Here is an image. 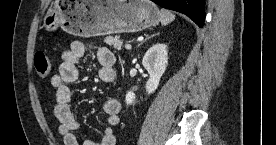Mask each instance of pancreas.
<instances>
[{
    "label": "pancreas",
    "instance_id": "cf45deb5",
    "mask_svg": "<svg viewBox=\"0 0 276 145\" xmlns=\"http://www.w3.org/2000/svg\"><path fill=\"white\" fill-rule=\"evenodd\" d=\"M104 42L106 44H108L109 46H112L116 50H121L122 49L123 41L121 39H119L118 36H115V37H111V36L106 37L104 39Z\"/></svg>",
    "mask_w": 276,
    "mask_h": 145
}]
</instances>
